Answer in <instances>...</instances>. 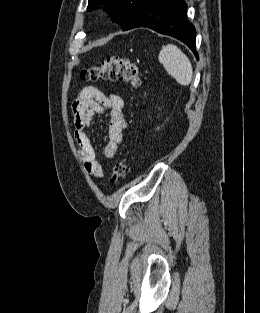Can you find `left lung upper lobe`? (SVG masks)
<instances>
[{
  "mask_svg": "<svg viewBox=\"0 0 260 313\" xmlns=\"http://www.w3.org/2000/svg\"><path fill=\"white\" fill-rule=\"evenodd\" d=\"M152 0H89L88 10L95 5L112 4L113 8H107L112 18L125 30L136 16L146 8Z\"/></svg>",
  "mask_w": 260,
  "mask_h": 313,
  "instance_id": "obj_1",
  "label": "left lung upper lobe"
}]
</instances>
